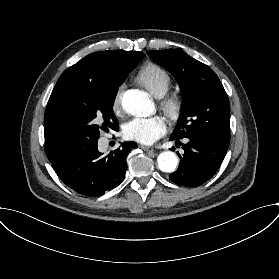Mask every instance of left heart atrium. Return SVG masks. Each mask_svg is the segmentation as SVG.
Returning <instances> with one entry per match:
<instances>
[{
  "instance_id": "39dd6f15",
  "label": "left heart atrium",
  "mask_w": 279,
  "mask_h": 279,
  "mask_svg": "<svg viewBox=\"0 0 279 279\" xmlns=\"http://www.w3.org/2000/svg\"><path fill=\"white\" fill-rule=\"evenodd\" d=\"M166 125L159 115L152 117H135L122 127V134L127 140L141 144H151L166 133Z\"/></svg>"
}]
</instances>
